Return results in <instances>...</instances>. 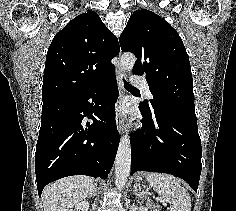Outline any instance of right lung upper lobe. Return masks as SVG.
Returning <instances> with one entry per match:
<instances>
[{
    "label": "right lung upper lobe",
    "instance_id": "cb5924a9",
    "mask_svg": "<svg viewBox=\"0 0 236 211\" xmlns=\"http://www.w3.org/2000/svg\"><path fill=\"white\" fill-rule=\"evenodd\" d=\"M120 51L114 34L88 11L59 31L46 56L42 100L79 95L114 74L112 58Z\"/></svg>",
    "mask_w": 236,
    "mask_h": 211
}]
</instances>
